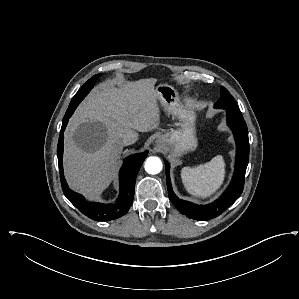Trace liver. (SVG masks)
<instances>
[{"mask_svg":"<svg viewBox=\"0 0 299 299\" xmlns=\"http://www.w3.org/2000/svg\"><path fill=\"white\" fill-rule=\"evenodd\" d=\"M157 79L106 82L95 87L77 108L65 134L64 169L69 185L93 199L113 179L128 131L160 126ZM84 127L78 132V127Z\"/></svg>","mask_w":299,"mask_h":299,"instance_id":"liver-1","label":"liver"}]
</instances>
